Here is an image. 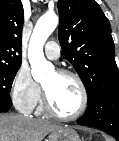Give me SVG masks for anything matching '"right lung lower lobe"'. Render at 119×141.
Wrapping results in <instances>:
<instances>
[{
	"instance_id": "98d812e1",
	"label": "right lung lower lobe",
	"mask_w": 119,
	"mask_h": 141,
	"mask_svg": "<svg viewBox=\"0 0 119 141\" xmlns=\"http://www.w3.org/2000/svg\"><path fill=\"white\" fill-rule=\"evenodd\" d=\"M12 105H5V104H2L0 103V112H6L10 109Z\"/></svg>"
}]
</instances>
